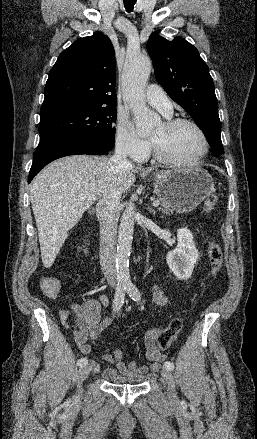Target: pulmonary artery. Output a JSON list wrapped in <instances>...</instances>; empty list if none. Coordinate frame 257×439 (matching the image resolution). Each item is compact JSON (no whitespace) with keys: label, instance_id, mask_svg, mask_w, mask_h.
I'll use <instances>...</instances> for the list:
<instances>
[{"label":"pulmonary artery","instance_id":"1","mask_svg":"<svg viewBox=\"0 0 257 439\" xmlns=\"http://www.w3.org/2000/svg\"><path fill=\"white\" fill-rule=\"evenodd\" d=\"M145 98L151 106L159 110L165 116L171 115V102L160 86L155 84L149 85L146 89Z\"/></svg>","mask_w":257,"mask_h":439}]
</instances>
